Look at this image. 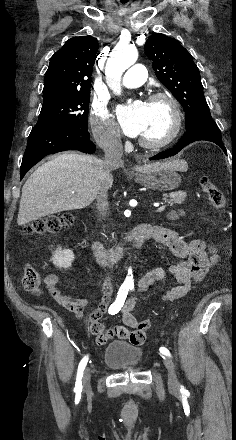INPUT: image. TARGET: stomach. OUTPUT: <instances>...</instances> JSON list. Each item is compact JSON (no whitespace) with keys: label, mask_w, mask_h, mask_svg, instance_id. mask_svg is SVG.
<instances>
[{"label":"stomach","mask_w":236,"mask_h":440,"mask_svg":"<svg viewBox=\"0 0 236 440\" xmlns=\"http://www.w3.org/2000/svg\"><path fill=\"white\" fill-rule=\"evenodd\" d=\"M186 169V163L181 161L178 168L160 167L149 172L136 174L135 181L148 189L169 191L177 188L181 183V176L178 171H185Z\"/></svg>","instance_id":"0dacf381"}]
</instances>
